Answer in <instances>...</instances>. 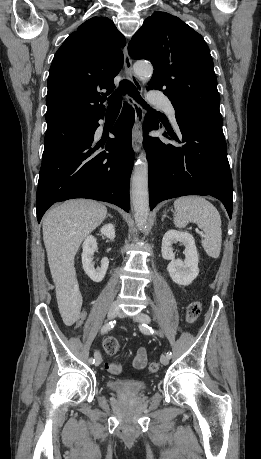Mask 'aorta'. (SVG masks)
I'll return each instance as SVG.
<instances>
[{
	"label": "aorta",
	"instance_id": "obj_1",
	"mask_svg": "<svg viewBox=\"0 0 261 459\" xmlns=\"http://www.w3.org/2000/svg\"><path fill=\"white\" fill-rule=\"evenodd\" d=\"M134 72L141 81H148L152 77L153 66L149 63L137 62L134 64ZM131 202L137 225L143 229L149 214L148 161L145 152L141 153L134 164L131 178Z\"/></svg>",
	"mask_w": 261,
	"mask_h": 459
}]
</instances>
